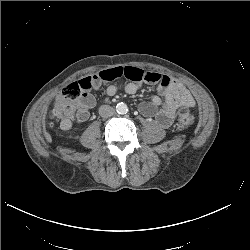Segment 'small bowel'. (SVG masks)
<instances>
[{
  "label": "small bowel",
  "mask_w": 250,
  "mask_h": 250,
  "mask_svg": "<svg viewBox=\"0 0 250 250\" xmlns=\"http://www.w3.org/2000/svg\"><path fill=\"white\" fill-rule=\"evenodd\" d=\"M82 94L76 102V123L81 124L88 120L90 110L95 106V97L91 90H98L107 85L106 92L113 96L120 91L128 94L136 93L143 84L155 85L158 93L153 95L148 102L139 106L140 112L155 119L161 127H169L175 120L177 110L180 107L192 108L195 100L191 93L174 78L152 71H144L137 67H115L106 69L87 76L76 82ZM60 127L68 131L72 127V121L63 120Z\"/></svg>",
  "instance_id": "c3829d8e"
}]
</instances>
